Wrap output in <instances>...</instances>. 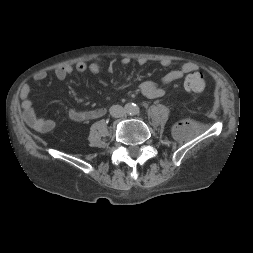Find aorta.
<instances>
[{
    "mask_svg": "<svg viewBox=\"0 0 253 253\" xmlns=\"http://www.w3.org/2000/svg\"><path fill=\"white\" fill-rule=\"evenodd\" d=\"M126 112L130 115H136L139 113V107L132 103H128L125 105Z\"/></svg>",
    "mask_w": 253,
    "mask_h": 253,
    "instance_id": "obj_1",
    "label": "aorta"
}]
</instances>
